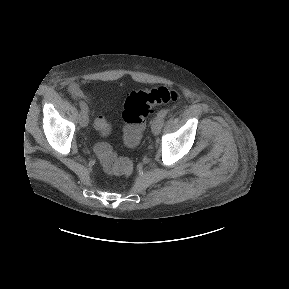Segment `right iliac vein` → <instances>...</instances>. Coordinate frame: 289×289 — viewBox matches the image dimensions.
Here are the masks:
<instances>
[{
    "instance_id": "right-iliac-vein-1",
    "label": "right iliac vein",
    "mask_w": 289,
    "mask_h": 289,
    "mask_svg": "<svg viewBox=\"0 0 289 289\" xmlns=\"http://www.w3.org/2000/svg\"><path fill=\"white\" fill-rule=\"evenodd\" d=\"M79 123L82 127H86L89 123V115L86 111H81L79 115Z\"/></svg>"
}]
</instances>
